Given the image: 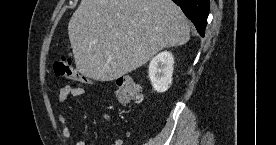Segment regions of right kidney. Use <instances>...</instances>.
Masks as SVG:
<instances>
[{"mask_svg":"<svg viewBox=\"0 0 276 145\" xmlns=\"http://www.w3.org/2000/svg\"><path fill=\"white\" fill-rule=\"evenodd\" d=\"M174 58L170 52L157 54L149 64V78L151 84L159 93L168 90L172 83Z\"/></svg>","mask_w":276,"mask_h":145,"instance_id":"right-kidney-1","label":"right kidney"}]
</instances>
